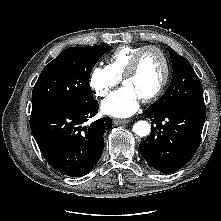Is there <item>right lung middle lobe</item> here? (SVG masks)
Wrapping results in <instances>:
<instances>
[{"label": "right lung middle lobe", "instance_id": "1", "mask_svg": "<svg viewBox=\"0 0 221 221\" xmlns=\"http://www.w3.org/2000/svg\"><path fill=\"white\" fill-rule=\"evenodd\" d=\"M110 46L70 47L41 72L32 91V110L51 105L85 104L93 99L91 69Z\"/></svg>", "mask_w": 221, "mask_h": 221}]
</instances>
